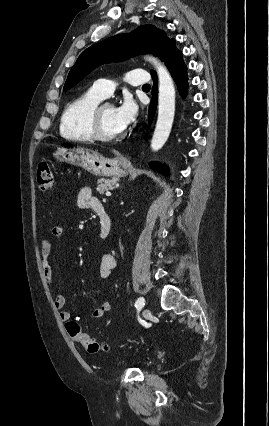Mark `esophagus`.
<instances>
[{
    "mask_svg": "<svg viewBox=\"0 0 269 426\" xmlns=\"http://www.w3.org/2000/svg\"><path fill=\"white\" fill-rule=\"evenodd\" d=\"M126 161H128V162H129V161H130V157H128V156H127V157H126Z\"/></svg>",
    "mask_w": 269,
    "mask_h": 426,
    "instance_id": "1",
    "label": "esophagus"
}]
</instances>
